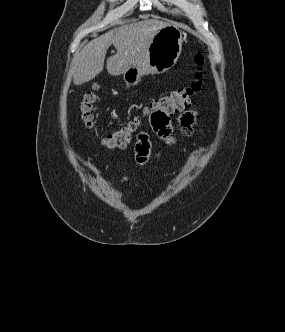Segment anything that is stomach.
Here are the masks:
<instances>
[{"instance_id": "stomach-1", "label": "stomach", "mask_w": 285, "mask_h": 332, "mask_svg": "<svg viewBox=\"0 0 285 332\" xmlns=\"http://www.w3.org/2000/svg\"><path fill=\"white\" fill-rule=\"evenodd\" d=\"M182 44L183 32L178 27L167 25L160 29L153 37L144 61L123 73L126 85H137L144 75L168 71L180 57Z\"/></svg>"}]
</instances>
